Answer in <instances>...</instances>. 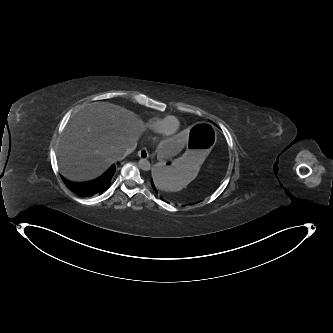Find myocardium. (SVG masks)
<instances>
[{
  "label": "myocardium",
  "instance_id": "myocardium-1",
  "mask_svg": "<svg viewBox=\"0 0 333 333\" xmlns=\"http://www.w3.org/2000/svg\"><path fill=\"white\" fill-rule=\"evenodd\" d=\"M174 118H175L174 116H168V117L164 120V122H163V124H162V127H161V129H160V131H159V140H160V141H166V140H168V139H172V138H174V137L177 135V133H178V131H179V128H178V127H176V130H175V132H174L173 134L168 135V134L166 133V124H167V122H168L169 120L174 119Z\"/></svg>",
  "mask_w": 333,
  "mask_h": 333
}]
</instances>
